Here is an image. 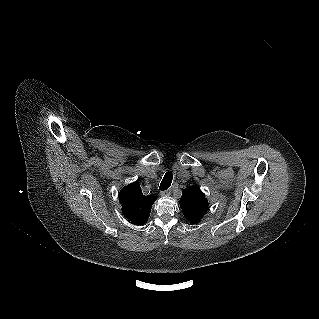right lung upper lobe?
Segmentation results:
<instances>
[{"label":"right lung upper lobe","mask_w":319,"mask_h":319,"mask_svg":"<svg viewBox=\"0 0 319 319\" xmlns=\"http://www.w3.org/2000/svg\"><path fill=\"white\" fill-rule=\"evenodd\" d=\"M155 200L154 195L144 196L137 182L129 184L119 193L123 215L136 225H143L147 222Z\"/></svg>","instance_id":"1"}]
</instances>
